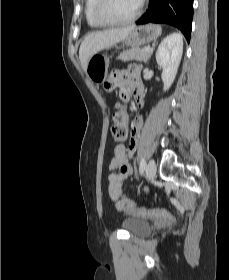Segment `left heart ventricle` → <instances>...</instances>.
Listing matches in <instances>:
<instances>
[{"mask_svg": "<svg viewBox=\"0 0 229 280\" xmlns=\"http://www.w3.org/2000/svg\"><path fill=\"white\" fill-rule=\"evenodd\" d=\"M139 4L138 0H109L105 13L113 19L128 18L135 13Z\"/></svg>", "mask_w": 229, "mask_h": 280, "instance_id": "left-heart-ventricle-1", "label": "left heart ventricle"}]
</instances>
